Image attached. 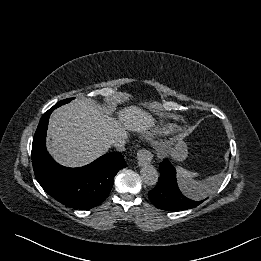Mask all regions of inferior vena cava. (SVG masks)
<instances>
[{
	"label": "inferior vena cava",
	"mask_w": 261,
	"mask_h": 261,
	"mask_svg": "<svg viewBox=\"0 0 261 261\" xmlns=\"http://www.w3.org/2000/svg\"><path fill=\"white\" fill-rule=\"evenodd\" d=\"M126 143H127V137H119L114 140L113 145L118 151H125Z\"/></svg>",
	"instance_id": "inferior-vena-cava-1"
}]
</instances>
